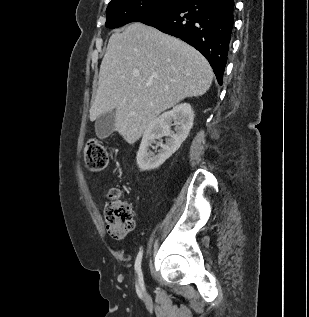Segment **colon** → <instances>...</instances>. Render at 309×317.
<instances>
[{
	"label": "colon",
	"mask_w": 309,
	"mask_h": 317,
	"mask_svg": "<svg viewBox=\"0 0 309 317\" xmlns=\"http://www.w3.org/2000/svg\"><path fill=\"white\" fill-rule=\"evenodd\" d=\"M85 163L91 171H101L108 164V153L104 144L89 138L84 148ZM104 220L108 233L116 240L124 239L133 229L132 208L118 189H112L104 208Z\"/></svg>",
	"instance_id": "colon-1"
}]
</instances>
